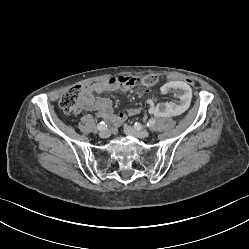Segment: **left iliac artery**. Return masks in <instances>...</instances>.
Instances as JSON below:
<instances>
[{"label":"left iliac artery","mask_w":249,"mask_h":249,"mask_svg":"<svg viewBox=\"0 0 249 249\" xmlns=\"http://www.w3.org/2000/svg\"><path fill=\"white\" fill-rule=\"evenodd\" d=\"M154 124H155V119H154V118H151V119L147 122L146 126H147V127H153ZM139 127H140V124H139V123H135V129H138Z\"/></svg>","instance_id":"1"}]
</instances>
